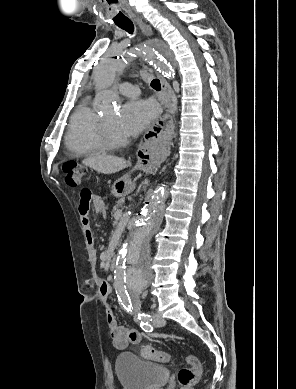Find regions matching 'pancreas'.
I'll list each match as a JSON object with an SVG mask.
<instances>
[{
	"label": "pancreas",
	"mask_w": 296,
	"mask_h": 389,
	"mask_svg": "<svg viewBox=\"0 0 296 389\" xmlns=\"http://www.w3.org/2000/svg\"><path fill=\"white\" fill-rule=\"evenodd\" d=\"M123 204H124V199H120V200L117 202V204L113 207V210H112V212H111L112 217H115L116 213H117L118 211H120V209L122 208Z\"/></svg>",
	"instance_id": "pancreas-1"
}]
</instances>
